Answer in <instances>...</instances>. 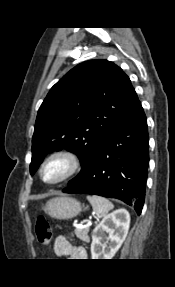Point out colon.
Segmentation results:
<instances>
[{"label":"colon","mask_w":175,"mask_h":287,"mask_svg":"<svg viewBox=\"0 0 175 287\" xmlns=\"http://www.w3.org/2000/svg\"><path fill=\"white\" fill-rule=\"evenodd\" d=\"M35 234L40 244L49 246L52 240V229L45 216L38 217L35 227Z\"/></svg>","instance_id":"obj_1"}]
</instances>
